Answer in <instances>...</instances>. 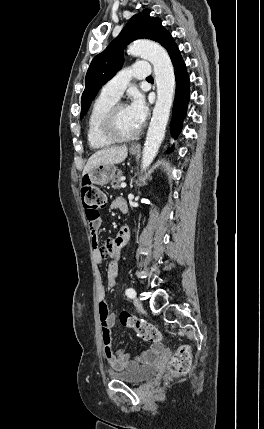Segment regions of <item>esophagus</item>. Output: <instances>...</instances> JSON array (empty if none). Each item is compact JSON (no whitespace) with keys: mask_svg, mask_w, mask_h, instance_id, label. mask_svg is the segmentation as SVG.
I'll return each mask as SVG.
<instances>
[{"mask_svg":"<svg viewBox=\"0 0 264 429\" xmlns=\"http://www.w3.org/2000/svg\"><path fill=\"white\" fill-rule=\"evenodd\" d=\"M132 149H140V146L138 144H134L131 146Z\"/></svg>","mask_w":264,"mask_h":429,"instance_id":"34e87169","label":"esophagus"}]
</instances>
